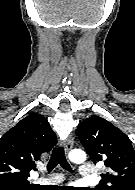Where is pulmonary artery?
<instances>
[{
  "label": "pulmonary artery",
  "mask_w": 135,
  "mask_h": 190,
  "mask_svg": "<svg viewBox=\"0 0 135 190\" xmlns=\"http://www.w3.org/2000/svg\"><path fill=\"white\" fill-rule=\"evenodd\" d=\"M79 177L82 179L92 178L94 175V168L91 164L84 163L79 166ZM63 180V177L60 174H54L50 178H38L37 183L46 184V183H57Z\"/></svg>",
  "instance_id": "pulmonary-artery-1"
}]
</instances>
